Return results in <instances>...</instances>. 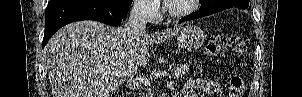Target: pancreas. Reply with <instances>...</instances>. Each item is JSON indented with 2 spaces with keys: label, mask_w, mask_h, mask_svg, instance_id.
<instances>
[{
  "label": "pancreas",
  "mask_w": 302,
  "mask_h": 97,
  "mask_svg": "<svg viewBox=\"0 0 302 97\" xmlns=\"http://www.w3.org/2000/svg\"><path fill=\"white\" fill-rule=\"evenodd\" d=\"M169 70L174 72V74H173L174 79H180L189 73V66L180 64L175 67L170 66Z\"/></svg>",
  "instance_id": "cf45deb5"
}]
</instances>
